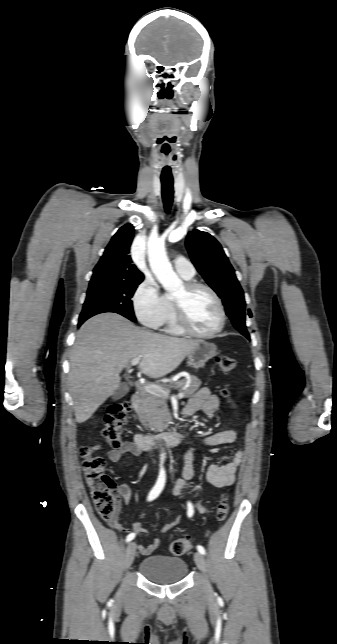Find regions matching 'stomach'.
I'll list each match as a JSON object with an SVG mask.
<instances>
[{
    "mask_svg": "<svg viewBox=\"0 0 337 644\" xmlns=\"http://www.w3.org/2000/svg\"><path fill=\"white\" fill-rule=\"evenodd\" d=\"M217 346L213 343L200 340L198 346L188 354V361L193 368H202L205 363L216 356Z\"/></svg>",
    "mask_w": 337,
    "mask_h": 644,
    "instance_id": "obj_1",
    "label": "stomach"
}]
</instances>
